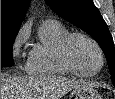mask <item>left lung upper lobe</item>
<instances>
[{"label":"left lung upper lobe","mask_w":115,"mask_h":99,"mask_svg":"<svg viewBox=\"0 0 115 99\" xmlns=\"http://www.w3.org/2000/svg\"><path fill=\"white\" fill-rule=\"evenodd\" d=\"M59 16L92 36L101 46L115 86V49L113 38L92 0H46Z\"/></svg>","instance_id":"obj_1"}]
</instances>
